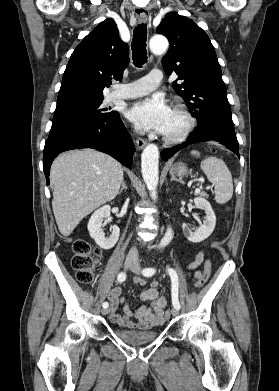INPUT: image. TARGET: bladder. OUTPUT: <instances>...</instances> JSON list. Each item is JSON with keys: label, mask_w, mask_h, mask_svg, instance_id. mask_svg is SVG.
Returning <instances> with one entry per match:
<instances>
[{"label": "bladder", "mask_w": 279, "mask_h": 391, "mask_svg": "<svg viewBox=\"0 0 279 391\" xmlns=\"http://www.w3.org/2000/svg\"><path fill=\"white\" fill-rule=\"evenodd\" d=\"M113 333L121 341L133 346L147 344L157 338V333L154 331H128L116 329Z\"/></svg>", "instance_id": "obj_1"}]
</instances>
